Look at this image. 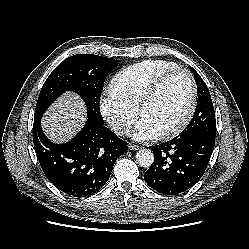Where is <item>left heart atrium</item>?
<instances>
[{
	"mask_svg": "<svg viewBox=\"0 0 249 249\" xmlns=\"http://www.w3.org/2000/svg\"><path fill=\"white\" fill-rule=\"evenodd\" d=\"M161 130L150 120L142 117L132 131V137L138 141H145L157 138Z\"/></svg>",
	"mask_w": 249,
	"mask_h": 249,
	"instance_id": "1",
	"label": "left heart atrium"
}]
</instances>
